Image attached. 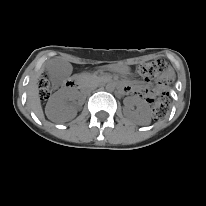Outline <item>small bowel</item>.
Segmentation results:
<instances>
[{
	"instance_id": "c3829d8e",
	"label": "small bowel",
	"mask_w": 206,
	"mask_h": 206,
	"mask_svg": "<svg viewBox=\"0 0 206 206\" xmlns=\"http://www.w3.org/2000/svg\"><path fill=\"white\" fill-rule=\"evenodd\" d=\"M126 90H130V88H129V87H126Z\"/></svg>"
}]
</instances>
